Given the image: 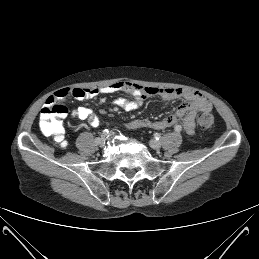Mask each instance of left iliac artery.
Masks as SVG:
<instances>
[{"label": "left iliac artery", "mask_w": 259, "mask_h": 259, "mask_svg": "<svg viewBox=\"0 0 259 259\" xmlns=\"http://www.w3.org/2000/svg\"><path fill=\"white\" fill-rule=\"evenodd\" d=\"M181 130V126L180 125H176L175 126V131L179 132ZM158 139V138H157Z\"/></svg>", "instance_id": "obj_1"}]
</instances>
